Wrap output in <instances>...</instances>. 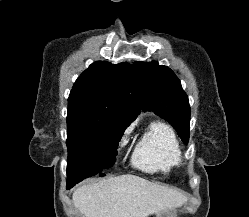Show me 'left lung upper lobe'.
I'll list each match as a JSON object with an SVG mask.
<instances>
[{"label":"left lung upper lobe","instance_id":"5c2ea615","mask_svg":"<svg viewBox=\"0 0 249 217\" xmlns=\"http://www.w3.org/2000/svg\"><path fill=\"white\" fill-rule=\"evenodd\" d=\"M134 70L141 87L144 110L167 120L182 141L189 140L190 105L180 80L167 66L136 62Z\"/></svg>","mask_w":249,"mask_h":217}]
</instances>
